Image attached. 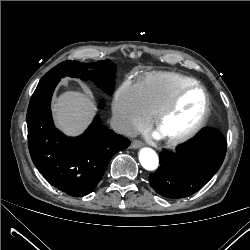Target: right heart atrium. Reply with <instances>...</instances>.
<instances>
[{
	"label": "right heart atrium",
	"mask_w": 250,
	"mask_h": 250,
	"mask_svg": "<svg viewBox=\"0 0 250 250\" xmlns=\"http://www.w3.org/2000/svg\"><path fill=\"white\" fill-rule=\"evenodd\" d=\"M113 118L117 131L123 135L142 130L151 121L135 85L129 81L123 82L115 93Z\"/></svg>",
	"instance_id": "obj_1"
}]
</instances>
